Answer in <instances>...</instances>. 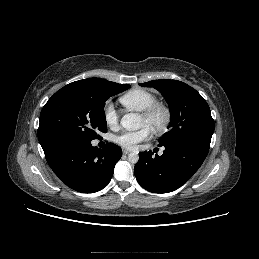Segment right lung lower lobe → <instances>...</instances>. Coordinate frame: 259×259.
Segmentation results:
<instances>
[{
	"instance_id": "obj_1",
	"label": "right lung lower lobe",
	"mask_w": 259,
	"mask_h": 259,
	"mask_svg": "<svg viewBox=\"0 0 259 259\" xmlns=\"http://www.w3.org/2000/svg\"><path fill=\"white\" fill-rule=\"evenodd\" d=\"M42 148L53 172L81 193H94L107 186L122 156L121 148L112 143L98 149L90 140L70 137L56 138Z\"/></svg>"
}]
</instances>
